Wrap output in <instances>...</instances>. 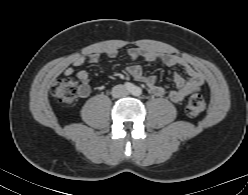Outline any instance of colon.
<instances>
[{
    "label": "colon",
    "instance_id": "1",
    "mask_svg": "<svg viewBox=\"0 0 248 195\" xmlns=\"http://www.w3.org/2000/svg\"><path fill=\"white\" fill-rule=\"evenodd\" d=\"M85 85L80 84L73 76L57 79L51 87V95L63 105H71L84 90ZM205 107V100L200 94H192L186 106L189 116L200 114Z\"/></svg>",
    "mask_w": 248,
    "mask_h": 195
}]
</instances>
